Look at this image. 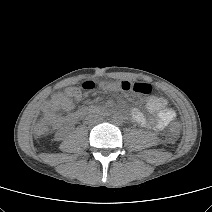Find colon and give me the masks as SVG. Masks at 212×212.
I'll return each instance as SVG.
<instances>
[{
    "label": "colon",
    "mask_w": 212,
    "mask_h": 212,
    "mask_svg": "<svg viewBox=\"0 0 212 212\" xmlns=\"http://www.w3.org/2000/svg\"><path fill=\"white\" fill-rule=\"evenodd\" d=\"M96 88L99 92L109 91L111 93H134L138 92L141 94H150L152 92V87L149 84L136 82L129 79H99L94 84L92 81H87L82 84V89L92 90ZM48 131V122L42 121L35 125L34 132L37 136H43ZM179 127L174 125L169 133V138L174 140L177 137Z\"/></svg>",
    "instance_id": "colon-1"
}]
</instances>
